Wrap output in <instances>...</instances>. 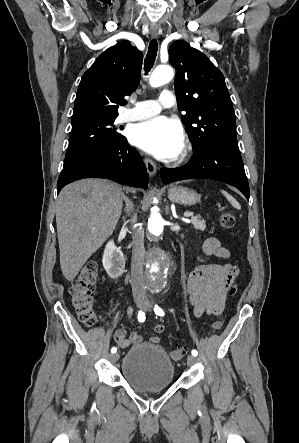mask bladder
I'll return each instance as SVG.
<instances>
[{
  "label": "bladder",
  "mask_w": 299,
  "mask_h": 443,
  "mask_svg": "<svg viewBox=\"0 0 299 443\" xmlns=\"http://www.w3.org/2000/svg\"><path fill=\"white\" fill-rule=\"evenodd\" d=\"M121 374L135 390H162L172 385L175 366L161 346L141 343L125 354Z\"/></svg>",
  "instance_id": "31cf9c89"
}]
</instances>
